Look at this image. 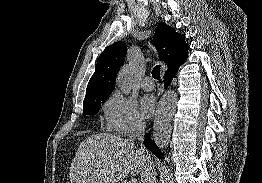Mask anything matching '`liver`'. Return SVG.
I'll return each instance as SVG.
<instances>
[{
    "instance_id": "6515ba94",
    "label": "liver",
    "mask_w": 262,
    "mask_h": 183,
    "mask_svg": "<svg viewBox=\"0 0 262 183\" xmlns=\"http://www.w3.org/2000/svg\"><path fill=\"white\" fill-rule=\"evenodd\" d=\"M140 150V149H139ZM134 141L107 133L83 140L70 166L71 183H117L142 170Z\"/></svg>"
}]
</instances>
